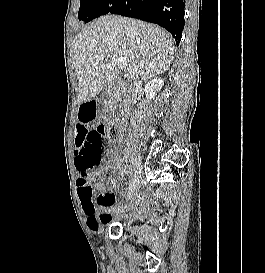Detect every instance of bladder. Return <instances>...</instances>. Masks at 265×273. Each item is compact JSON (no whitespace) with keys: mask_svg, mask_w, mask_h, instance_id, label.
Returning a JSON list of instances; mask_svg holds the SVG:
<instances>
[{"mask_svg":"<svg viewBox=\"0 0 265 273\" xmlns=\"http://www.w3.org/2000/svg\"><path fill=\"white\" fill-rule=\"evenodd\" d=\"M127 221L130 222V221H131V218H129Z\"/></svg>","mask_w":265,"mask_h":273,"instance_id":"obj_1","label":"bladder"}]
</instances>
